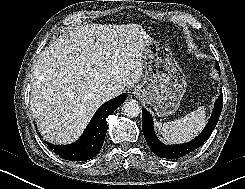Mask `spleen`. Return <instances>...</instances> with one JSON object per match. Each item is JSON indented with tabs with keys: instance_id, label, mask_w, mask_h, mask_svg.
<instances>
[{
	"instance_id": "obj_1",
	"label": "spleen",
	"mask_w": 245,
	"mask_h": 189,
	"mask_svg": "<svg viewBox=\"0 0 245 189\" xmlns=\"http://www.w3.org/2000/svg\"><path fill=\"white\" fill-rule=\"evenodd\" d=\"M155 125L167 142H187L199 134L206 125L205 107L199 106L197 111H192L181 119L163 124L156 122Z\"/></svg>"
}]
</instances>
